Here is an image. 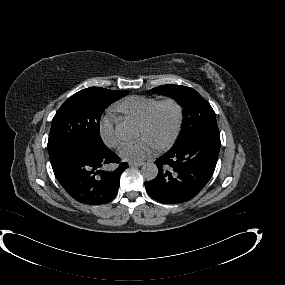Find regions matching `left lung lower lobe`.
<instances>
[{
  "label": "left lung lower lobe",
  "mask_w": 285,
  "mask_h": 285,
  "mask_svg": "<svg viewBox=\"0 0 285 285\" xmlns=\"http://www.w3.org/2000/svg\"><path fill=\"white\" fill-rule=\"evenodd\" d=\"M219 150L218 127L175 143L155 161L158 175L152 181H145L147 193L158 202L168 204L192 199L211 178Z\"/></svg>",
  "instance_id": "left-lung-lower-lobe-1"
}]
</instances>
